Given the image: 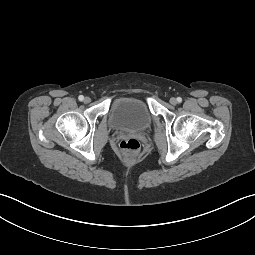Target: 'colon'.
I'll list each match as a JSON object with an SVG mask.
<instances>
[{
	"label": "colon",
	"mask_w": 255,
	"mask_h": 255,
	"mask_svg": "<svg viewBox=\"0 0 255 255\" xmlns=\"http://www.w3.org/2000/svg\"><path fill=\"white\" fill-rule=\"evenodd\" d=\"M119 146L122 153L127 157H134L140 150V142L134 137L123 138Z\"/></svg>",
	"instance_id": "1"
}]
</instances>
